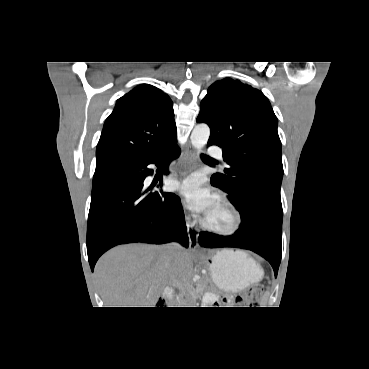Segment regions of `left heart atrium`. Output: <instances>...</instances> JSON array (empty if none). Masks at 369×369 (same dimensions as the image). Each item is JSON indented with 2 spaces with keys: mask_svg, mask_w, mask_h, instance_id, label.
Returning <instances> with one entry per match:
<instances>
[{
  "mask_svg": "<svg viewBox=\"0 0 369 369\" xmlns=\"http://www.w3.org/2000/svg\"><path fill=\"white\" fill-rule=\"evenodd\" d=\"M178 190L187 205L196 212L206 214L216 203V196L201 186L196 176L187 178L178 184Z\"/></svg>",
  "mask_w": 369,
  "mask_h": 369,
  "instance_id": "left-heart-atrium-1",
  "label": "left heart atrium"
}]
</instances>
